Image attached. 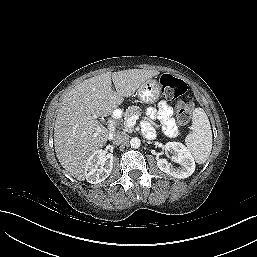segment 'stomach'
Here are the masks:
<instances>
[{"label":"stomach","mask_w":257,"mask_h":257,"mask_svg":"<svg viewBox=\"0 0 257 257\" xmlns=\"http://www.w3.org/2000/svg\"><path fill=\"white\" fill-rule=\"evenodd\" d=\"M161 93L160 84L156 79H148L137 89L136 94L141 102L153 104L158 101Z\"/></svg>","instance_id":"stomach-1"}]
</instances>
